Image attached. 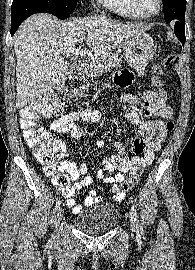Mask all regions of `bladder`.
<instances>
[{"mask_svg":"<svg viewBox=\"0 0 195 270\" xmlns=\"http://www.w3.org/2000/svg\"><path fill=\"white\" fill-rule=\"evenodd\" d=\"M120 218L119 209L111 204L94 206L82 210L75 218L74 224L88 234H102L116 226Z\"/></svg>","mask_w":195,"mask_h":270,"instance_id":"31cf9c89","label":"bladder"}]
</instances>
